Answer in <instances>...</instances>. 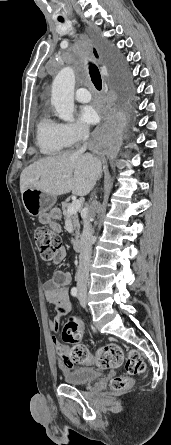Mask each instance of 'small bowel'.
I'll return each instance as SVG.
<instances>
[{"mask_svg":"<svg viewBox=\"0 0 171 445\" xmlns=\"http://www.w3.org/2000/svg\"><path fill=\"white\" fill-rule=\"evenodd\" d=\"M50 229L54 232H59V223L51 222ZM66 255V249L64 247H61L57 253L54 262L56 264H60L65 260ZM70 282V272L58 270L55 271L52 277L44 283V296L46 301L50 304H53L57 308L56 317L53 320L49 321V329L55 333L59 330L61 318L72 309L69 297ZM52 342L62 358L60 361L61 366L66 369L75 368L77 364L72 363L68 358L70 348L67 345L61 344L56 336L52 337Z\"/></svg>","mask_w":171,"mask_h":445,"instance_id":"obj_1","label":"small bowel"}]
</instances>
